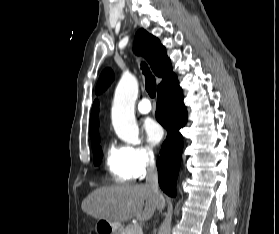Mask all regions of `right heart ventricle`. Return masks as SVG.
Segmentation results:
<instances>
[{
	"mask_svg": "<svg viewBox=\"0 0 279 234\" xmlns=\"http://www.w3.org/2000/svg\"><path fill=\"white\" fill-rule=\"evenodd\" d=\"M105 164L109 174L117 182H129L136 178L127 147L109 145L106 151Z\"/></svg>",
	"mask_w": 279,
	"mask_h": 234,
	"instance_id": "obj_1",
	"label": "right heart ventricle"
}]
</instances>
